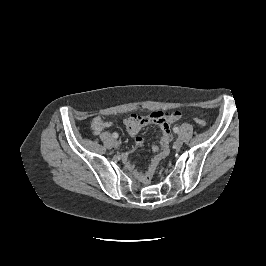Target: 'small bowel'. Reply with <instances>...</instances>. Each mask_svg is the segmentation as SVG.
<instances>
[{"label":"small bowel","mask_w":266,"mask_h":266,"mask_svg":"<svg viewBox=\"0 0 266 266\" xmlns=\"http://www.w3.org/2000/svg\"><path fill=\"white\" fill-rule=\"evenodd\" d=\"M180 116L181 112L179 110H172L168 112L155 111L147 115L130 114L124 119V126L128 133L135 137V144L138 147L143 144V139L138 136V134L144 126L156 125L161 130L160 141L153 146V150L156 154L152 158L147 172L142 176L144 179H147L153 173L160 160L168 154L169 144L172 140L171 125L177 121ZM110 126L111 123L101 117H95L91 122V128L95 135L100 134L103 129Z\"/></svg>","instance_id":"obj_1"}]
</instances>
